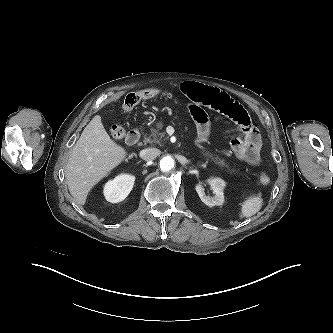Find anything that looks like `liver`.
Wrapping results in <instances>:
<instances>
[{
  "label": "liver",
  "instance_id": "6515ba94",
  "mask_svg": "<svg viewBox=\"0 0 333 333\" xmlns=\"http://www.w3.org/2000/svg\"><path fill=\"white\" fill-rule=\"evenodd\" d=\"M127 156L106 132L96 115L84 128L66 165V181L77 204L84 205L89 191Z\"/></svg>",
  "mask_w": 333,
  "mask_h": 333
}]
</instances>
